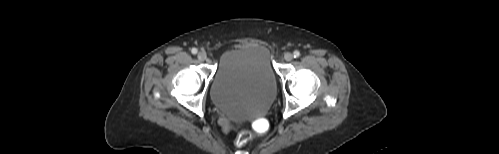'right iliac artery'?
<instances>
[{"label": "right iliac artery", "mask_w": 499, "mask_h": 154, "mask_svg": "<svg viewBox=\"0 0 499 154\" xmlns=\"http://www.w3.org/2000/svg\"><path fill=\"white\" fill-rule=\"evenodd\" d=\"M191 52L192 54H197L198 50L196 48H192Z\"/></svg>", "instance_id": "1"}]
</instances>
